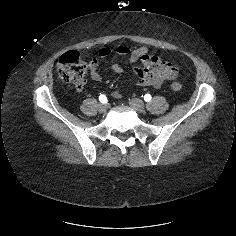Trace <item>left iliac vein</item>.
Segmentation results:
<instances>
[{"mask_svg": "<svg viewBox=\"0 0 236 236\" xmlns=\"http://www.w3.org/2000/svg\"><path fill=\"white\" fill-rule=\"evenodd\" d=\"M130 106L138 113H143L145 111L144 103L137 98H133L129 102Z\"/></svg>", "mask_w": 236, "mask_h": 236, "instance_id": "obj_1", "label": "left iliac vein"}]
</instances>
